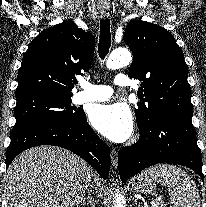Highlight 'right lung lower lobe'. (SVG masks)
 I'll return each instance as SVG.
<instances>
[{"instance_id": "right-lung-lower-lobe-1", "label": "right lung lower lobe", "mask_w": 206, "mask_h": 207, "mask_svg": "<svg viewBox=\"0 0 206 207\" xmlns=\"http://www.w3.org/2000/svg\"><path fill=\"white\" fill-rule=\"evenodd\" d=\"M39 145L66 148L87 161L106 179L110 170V149L93 132L85 114L78 120L42 121L12 130L6 155V167L22 151Z\"/></svg>"}]
</instances>
